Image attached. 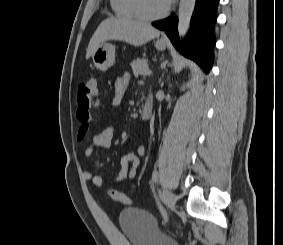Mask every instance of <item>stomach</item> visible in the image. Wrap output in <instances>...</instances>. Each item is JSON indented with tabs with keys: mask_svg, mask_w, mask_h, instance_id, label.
<instances>
[{
	"mask_svg": "<svg viewBox=\"0 0 283 245\" xmlns=\"http://www.w3.org/2000/svg\"><path fill=\"white\" fill-rule=\"evenodd\" d=\"M160 51L165 50L166 43L158 40L155 44ZM94 66L100 71H106L115 62V46L102 43L92 55Z\"/></svg>",
	"mask_w": 283,
	"mask_h": 245,
	"instance_id": "stomach-1",
	"label": "stomach"
}]
</instances>
